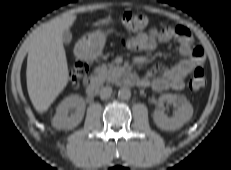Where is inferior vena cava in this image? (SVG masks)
Instances as JSON below:
<instances>
[{
    "label": "inferior vena cava",
    "mask_w": 231,
    "mask_h": 170,
    "mask_svg": "<svg viewBox=\"0 0 231 170\" xmlns=\"http://www.w3.org/2000/svg\"><path fill=\"white\" fill-rule=\"evenodd\" d=\"M112 94V88L109 86L102 87L100 89L99 95L101 99H108Z\"/></svg>",
    "instance_id": "1"
}]
</instances>
